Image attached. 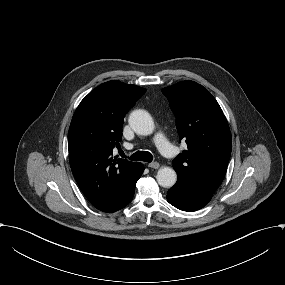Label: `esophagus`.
Listing matches in <instances>:
<instances>
[{
    "instance_id": "1",
    "label": "esophagus",
    "mask_w": 285,
    "mask_h": 285,
    "mask_svg": "<svg viewBox=\"0 0 285 285\" xmlns=\"http://www.w3.org/2000/svg\"><path fill=\"white\" fill-rule=\"evenodd\" d=\"M148 167L158 169L160 167V164L158 162H152L148 164Z\"/></svg>"
}]
</instances>
